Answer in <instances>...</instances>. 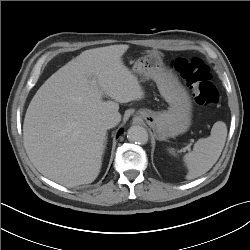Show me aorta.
Segmentation results:
<instances>
[{
	"label": "aorta",
	"mask_w": 250,
	"mask_h": 250,
	"mask_svg": "<svg viewBox=\"0 0 250 250\" xmlns=\"http://www.w3.org/2000/svg\"><path fill=\"white\" fill-rule=\"evenodd\" d=\"M147 130L139 125H133L128 129L127 138L130 142L136 144H146L148 142Z\"/></svg>",
	"instance_id": "762f6f07"
}]
</instances>
